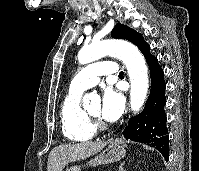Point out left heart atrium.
Instances as JSON below:
<instances>
[{"instance_id": "1", "label": "left heart atrium", "mask_w": 199, "mask_h": 171, "mask_svg": "<svg viewBox=\"0 0 199 171\" xmlns=\"http://www.w3.org/2000/svg\"><path fill=\"white\" fill-rule=\"evenodd\" d=\"M124 96L115 88L105 90L100 108V116L107 122L117 121L124 109Z\"/></svg>"}]
</instances>
